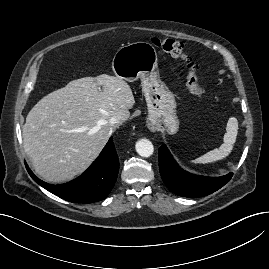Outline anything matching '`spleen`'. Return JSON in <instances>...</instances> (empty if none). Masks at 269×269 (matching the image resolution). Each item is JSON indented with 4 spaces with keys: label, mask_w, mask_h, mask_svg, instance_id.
<instances>
[{
    "label": "spleen",
    "mask_w": 269,
    "mask_h": 269,
    "mask_svg": "<svg viewBox=\"0 0 269 269\" xmlns=\"http://www.w3.org/2000/svg\"><path fill=\"white\" fill-rule=\"evenodd\" d=\"M238 134V121L235 117L229 118L226 126V133L223 137V144L219 148L213 149L199 158L193 160V163L208 164L226 158L232 151Z\"/></svg>",
    "instance_id": "obj_1"
}]
</instances>
